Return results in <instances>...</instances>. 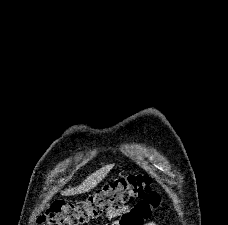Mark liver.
Here are the masks:
<instances>
[{"mask_svg":"<svg viewBox=\"0 0 228 225\" xmlns=\"http://www.w3.org/2000/svg\"><path fill=\"white\" fill-rule=\"evenodd\" d=\"M112 167L114 165H105V167H102V169H99V171H96V173H93V175H90V177H87L79 187H74V189H66V191H61V195H64V197H69V195H81V193H88V191H91V189H94L106 175H108L109 171H111Z\"/></svg>","mask_w":228,"mask_h":225,"instance_id":"6515ba94","label":"liver"}]
</instances>
